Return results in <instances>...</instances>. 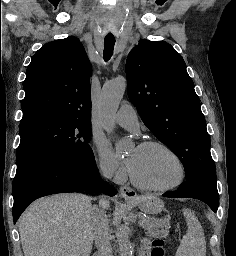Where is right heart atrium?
Listing matches in <instances>:
<instances>
[{
	"mask_svg": "<svg viewBox=\"0 0 236 256\" xmlns=\"http://www.w3.org/2000/svg\"><path fill=\"white\" fill-rule=\"evenodd\" d=\"M97 163L100 174L108 180L122 184L127 180V170L110 154L103 145L97 144Z\"/></svg>",
	"mask_w": 236,
	"mask_h": 256,
	"instance_id": "1",
	"label": "right heart atrium"
}]
</instances>
